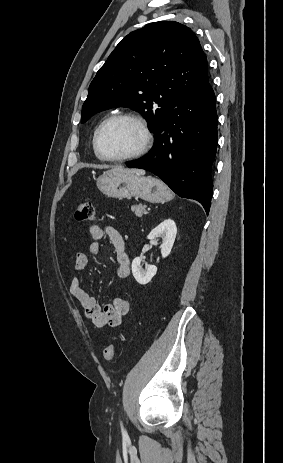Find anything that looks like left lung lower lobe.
Here are the masks:
<instances>
[{
  "label": "left lung lower lobe",
  "instance_id": "1",
  "mask_svg": "<svg viewBox=\"0 0 283 463\" xmlns=\"http://www.w3.org/2000/svg\"><path fill=\"white\" fill-rule=\"evenodd\" d=\"M154 133L153 151L127 166L159 176L180 197L200 202L208 214L217 148L215 94L209 80L176 103Z\"/></svg>",
  "mask_w": 283,
  "mask_h": 463
}]
</instances>
